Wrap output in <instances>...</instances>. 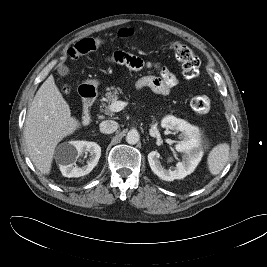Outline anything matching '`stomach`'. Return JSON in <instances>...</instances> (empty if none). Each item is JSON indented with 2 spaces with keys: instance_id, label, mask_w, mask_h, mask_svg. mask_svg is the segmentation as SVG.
Wrapping results in <instances>:
<instances>
[{
  "instance_id": "0dacf381",
  "label": "stomach",
  "mask_w": 267,
  "mask_h": 267,
  "mask_svg": "<svg viewBox=\"0 0 267 267\" xmlns=\"http://www.w3.org/2000/svg\"><path fill=\"white\" fill-rule=\"evenodd\" d=\"M90 83H91L92 85H94V86H97V85H98V81H96V80H92V81H90Z\"/></svg>"
}]
</instances>
